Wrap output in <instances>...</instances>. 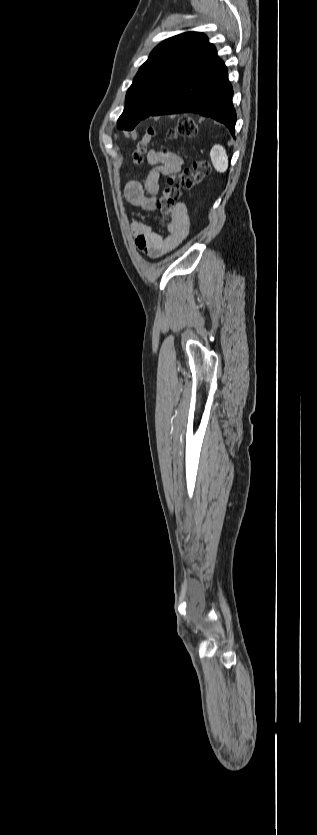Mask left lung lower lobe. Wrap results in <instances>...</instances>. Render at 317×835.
Masks as SVG:
<instances>
[{"mask_svg":"<svg viewBox=\"0 0 317 835\" xmlns=\"http://www.w3.org/2000/svg\"><path fill=\"white\" fill-rule=\"evenodd\" d=\"M227 68L209 44L187 67L167 99L151 116L194 113L223 123L234 136L236 111Z\"/></svg>","mask_w":317,"mask_h":835,"instance_id":"0a47b994","label":"left lung lower lobe"}]
</instances>
